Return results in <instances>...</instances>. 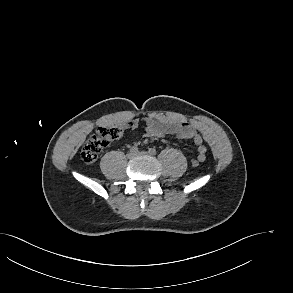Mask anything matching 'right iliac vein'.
<instances>
[{"mask_svg":"<svg viewBox=\"0 0 293 293\" xmlns=\"http://www.w3.org/2000/svg\"><path fill=\"white\" fill-rule=\"evenodd\" d=\"M135 156H136V153H135V152H132V151L128 152V154H127V157H128L129 159H132V158H134Z\"/></svg>","mask_w":293,"mask_h":293,"instance_id":"63e3f726","label":"right iliac vein"}]
</instances>
